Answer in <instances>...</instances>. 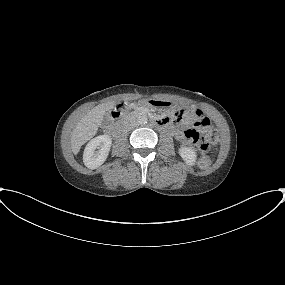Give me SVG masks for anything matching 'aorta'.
Masks as SVG:
<instances>
[{
  "label": "aorta",
  "mask_w": 285,
  "mask_h": 285,
  "mask_svg": "<svg viewBox=\"0 0 285 285\" xmlns=\"http://www.w3.org/2000/svg\"><path fill=\"white\" fill-rule=\"evenodd\" d=\"M147 117L145 116V115H141V116H139L138 117V123L140 124V125H142V124H146L147 123Z\"/></svg>",
  "instance_id": "aorta-1"
}]
</instances>
